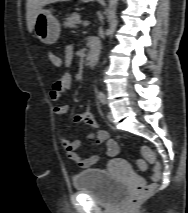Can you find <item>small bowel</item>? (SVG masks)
Listing matches in <instances>:
<instances>
[{"mask_svg": "<svg viewBox=\"0 0 188 213\" xmlns=\"http://www.w3.org/2000/svg\"><path fill=\"white\" fill-rule=\"evenodd\" d=\"M74 57V47L72 45H68L64 50V61L56 55V58L59 62L56 65L51 59V63L54 67H61L63 63L66 64L71 63ZM72 87V78L70 75H63L60 79L55 81L52 85L50 91V99L54 102H57L61 99L62 95L68 91H70ZM68 111L67 105H55L53 107V114L56 117H62ZM72 122L75 124L85 123L95 128L96 131L88 133L85 138L89 140H94L96 144L104 145V153L109 157H114L119 152L118 143L111 139L108 132L100 128L99 121L95 118L88 110L83 113L75 114L72 117ZM62 146L66 151L67 157L77 163L82 168H89L95 165L99 160V154H94L88 157H83L78 153V148L81 145V140H70L67 138L62 139Z\"/></svg>", "mask_w": 188, "mask_h": 213, "instance_id": "1", "label": "small bowel"}]
</instances>
